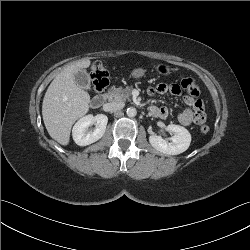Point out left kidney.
I'll return each instance as SVG.
<instances>
[{"instance_id": "1", "label": "left kidney", "mask_w": 250, "mask_h": 250, "mask_svg": "<svg viewBox=\"0 0 250 250\" xmlns=\"http://www.w3.org/2000/svg\"><path fill=\"white\" fill-rule=\"evenodd\" d=\"M167 130L174 133V136L170 138V142L156 134L149 137V142L154 149L167 155H178L189 148L191 135L187 129L170 124L167 126Z\"/></svg>"}]
</instances>
